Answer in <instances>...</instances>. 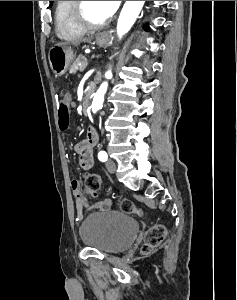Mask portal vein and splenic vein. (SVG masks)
Returning a JSON list of instances; mask_svg holds the SVG:
<instances>
[{
    "instance_id": "obj_1",
    "label": "portal vein and splenic vein",
    "mask_w": 237,
    "mask_h": 300,
    "mask_svg": "<svg viewBox=\"0 0 237 300\" xmlns=\"http://www.w3.org/2000/svg\"><path fill=\"white\" fill-rule=\"evenodd\" d=\"M82 64H83V66H81V69H82V70H81V69H80V70H81V73H84V71H85L86 69H88L89 64H88L87 61H85V60L83 61ZM85 76H86V75H85Z\"/></svg>"
}]
</instances>
